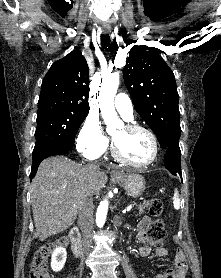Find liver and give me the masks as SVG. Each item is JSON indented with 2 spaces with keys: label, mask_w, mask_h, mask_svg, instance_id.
<instances>
[{
  "label": "liver",
  "mask_w": 221,
  "mask_h": 278,
  "mask_svg": "<svg viewBox=\"0 0 221 278\" xmlns=\"http://www.w3.org/2000/svg\"><path fill=\"white\" fill-rule=\"evenodd\" d=\"M106 183L104 171L82 166L67 157L42 161L30 190L39 239L44 241L73 225L87 190L97 195Z\"/></svg>",
  "instance_id": "1"
}]
</instances>
